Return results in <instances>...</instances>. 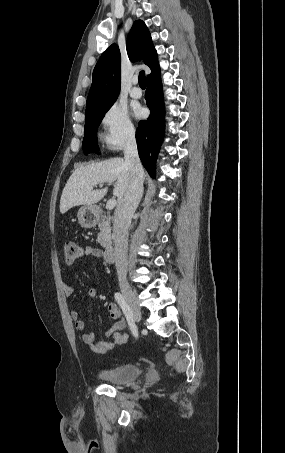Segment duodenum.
<instances>
[{
	"label": "duodenum",
	"instance_id": "duodenum-1",
	"mask_svg": "<svg viewBox=\"0 0 285 453\" xmlns=\"http://www.w3.org/2000/svg\"><path fill=\"white\" fill-rule=\"evenodd\" d=\"M116 251L113 244H107L103 251V257L106 262L112 263L115 260Z\"/></svg>",
	"mask_w": 285,
	"mask_h": 453
}]
</instances>
